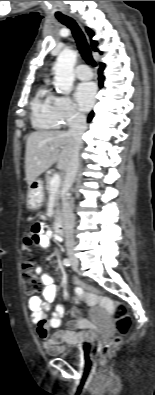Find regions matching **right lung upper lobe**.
<instances>
[{
  "mask_svg": "<svg viewBox=\"0 0 155 395\" xmlns=\"http://www.w3.org/2000/svg\"><path fill=\"white\" fill-rule=\"evenodd\" d=\"M86 31H87V33H88V35H89L90 37H93V36H94V32H93L91 29H89L88 27L86 28ZM91 47H92V49H93L94 51H98V49L96 48V47H97V41L91 40Z\"/></svg>",
  "mask_w": 155,
  "mask_h": 395,
  "instance_id": "1",
  "label": "right lung upper lobe"
}]
</instances>
